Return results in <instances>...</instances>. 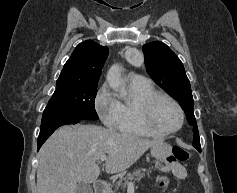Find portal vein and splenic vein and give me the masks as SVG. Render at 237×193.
I'll list each match as a JSON object with an SVG mask.
<instances>
[{
  "label": "portal vein and splenic vein",
  "instance_id": "18ae733b",
  "mask_svg": "<svg viewBox=\"0 0 237 193\" xmlns=\"http://www.w3.org/2000/svg\"><path fill=\"white\" fill-rule=\"evenodd\" d=\"M106 158H107L106 155H101L99 159H100V161H104V160H106Z\"/></svg>",
  "mask_w": 237,
  "mask_h": 193
}]
</instances>
